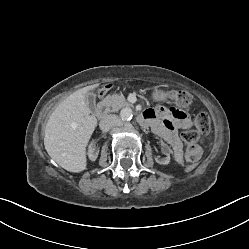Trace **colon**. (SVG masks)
<instances>
[{
  "mask_svg": "<svg viewBox=\"0 0 249 249\" xmlns=\"http://www.w3.org/2000/svg\"><path fill=\"white\" fill-rule=\"evenodd\" d=\"M168 97L178 105L188 107L192 104V96L184 90L169 88L167 90ZM211 131V119L206 112L198 113L193 121V127L182 132V140L186 144L185 159L189 163L198 162L203 154L202 148L197 144L200 134L206 135Z\"/></svg>",
  "mask_w": 249,
  "mask_h": 249,
  "instance_id": "1",
  "label": "colon"
}]
</instances>
